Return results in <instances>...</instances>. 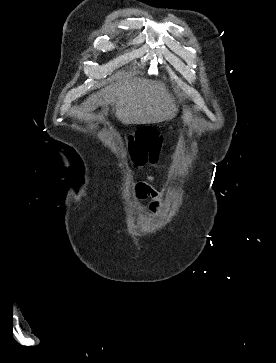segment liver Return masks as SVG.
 Masks as SVG:
<instances>
[{"instance_id": "liver-1", "label": "liver", "mask_w": 276, "mask_h": 363, "mask_svg": "<svg viewBox=\"0 0 276 363\" xmlns=\"http://www.w3.org/2000/svg\"><path fill=\"white\" fill-rule=\"evenodd\" d=\"M116 106V117L124 124H150L171 120L178 108L164 83L143 78L123 79L88 97L83 110Z\"/></svg>"}]
</instances>
